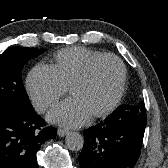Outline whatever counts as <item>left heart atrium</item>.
<instances>
[{
  "label": "left heart atrium",
  "mask_w": 168,
  "mask_h": 168,
  "mask_svg": "<svg viewBox=\"0 0 168 168\" xmlns=\"http://www.w3.org/2000/svg\"><path fill=\"white\" fill-rule=\"evenodd\" d=\"M91 116L86 103L80 97L71 96L53 108L49 120L67 127H79L88 122Z\"/></svg>",
  "instance_id": "obj_1"
}]
</instances>
